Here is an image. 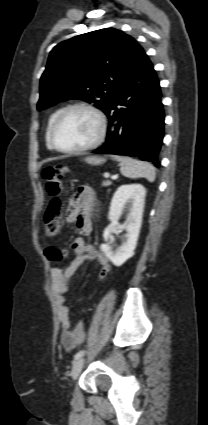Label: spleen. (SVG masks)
<instances>
[{
    "label": "spleen",
    "mask_w": 208,
    "mask_h": 425,
    "mask_svg": "<svg viewBox=\"0 0 208 425\" xmlns=\"http://www.w3.org/2000/svg\"><path fill=\"white\" fill-rule=\"evenodd\" d=\"M114 159L121 163L120 171L123 176L128 178H146L149 182H154L156 172L150 163L130 157L114 156Z\"/></svg>",
    "instance_id": "3e777b00"
}]
</instances>
